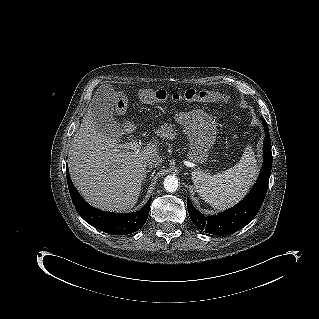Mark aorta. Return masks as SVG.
<instances>
[{"instance_id": "aorta-1", "label": "aorta", "mask_w": 319, "mask_h": 319, "mask_svg": "<svg viewBox=\"0 0 319 319\" xmlns=\"http://www.w3.org/2000/svg\"><path fill=\"white\" fill-rule=\"evenodd\" d=\"M164 188L167 192H175L179 187L178 178L174 175H168L164 179Z\"/></svg>"}]
</instances>
